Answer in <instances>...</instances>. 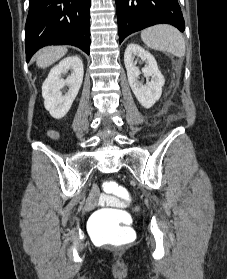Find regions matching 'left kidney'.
Returning a JSON list of instances; mask_svg holds the SVG:
<instances>
[{
    "label": "left kidney",
    "mask_w": 227,
    "mask_h": 279,
    "mask_svg": "<svg viewBox=\"0 0 227 279\" xmlns=\"http://www.w3.org/2000/svg\"><path fill=\"white\" fill-rule=\"evenodd\" d=\"M136 57L146 63L141 71L134 64V59ZM124 63L127 70L128 82L134 95L143 107L147 109L151 108L161 97L162 86L165 83L155 58L141 46L131 43L125 50ZM141 72L147 78V83L145 85L139 81ZM149 78H151L150 81L148 80Z\"/></svg>",
    "instance_id": "1"
}]
</instances>
